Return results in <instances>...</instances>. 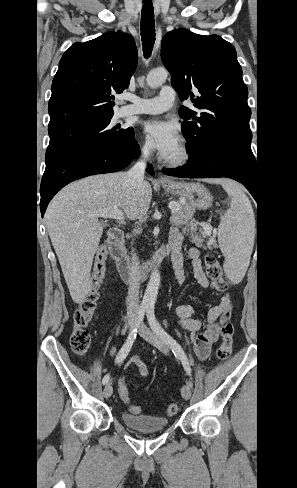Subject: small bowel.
<instances>
[{"mask_svg": "<svg viewBox=\"0 0 297 488\" xmlns=\"http://www.w3.org/2000/svg\"><path fill=\"white\" fill-rule=\"evenodd\" d=\"M183 241L184 236L178 229H172L170 231L167 245L171 248V258L176 280L181 286H184L188 281L182 254ZM186 257L191 263L193 276L197 283L202 288H208L210 283L202 267L200 250L197 247H191L187 251ZM231 309L232 300L227 292L222 294L218 305L208 311L205 322H202V320L196 317L197 311L192 305H179L175 308L179 325L182 329L190 332L194 350L199 359L204 360L209 356L213 344L218 339L220 324L225 321V315L230 313ZM128 366L136 367L139 373L145 378L151 377L150 370L139 357H132L128 362ZM120 381L122 380L120 379Z\"/></svg>", "mask_w": 297, "mask_h": 488, "instance_id": "obj_1", "label": "small bowel"}]
</instances>
